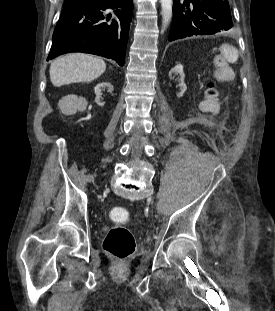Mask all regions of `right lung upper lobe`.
Listing matches in <instances>:
<instances>
[{
    "label": "right lung upper lobe",
    "instance_id": "right-lung-upper-lobe-1",
    "mask_svg": "<svg viewBox=\"0 0 275 311\" xmlns=\"http://www.w3.org/2000/svg\"><path fill=\"white\" fill-rule=\"evenodd\" d=\"M78 1H81V0H66L65 4L70 5V4L76 3Z\"/></svg>",
    "mask_w": 275,
    "mask_h": 311
}]
</instances>
